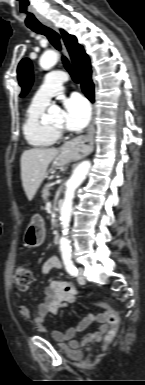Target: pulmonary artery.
Here are the masks:
<instances>
[{
    "mask_svg": "<svg viewBox=\"0 0 145 385\" xmlns=\"http://www.w3.org/2000/svg\"><path fill=\"white\" fill-rule=\"evenodd\" d=\"M68 76L60 70L48 73L45 80L33 97V102L48 105L51 98L59 94L63 89V83Z\"/></svg>",
    "mask_w": 145,
    "mask_h": 385,
    "instance_id": "pulmonary-artery-1",
    "label": "pulmonary artery"
}]
</instances>
